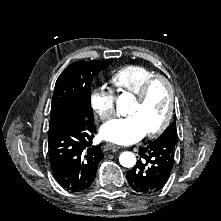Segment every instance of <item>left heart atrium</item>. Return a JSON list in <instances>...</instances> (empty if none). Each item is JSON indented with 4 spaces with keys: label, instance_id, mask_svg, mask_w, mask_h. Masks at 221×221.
I'll return each instance as SVG.
<instances>
[{
    "label": "left heart atrium",
    "instance_id": "obj_1",
    "mask_svg": "<svg viewBox=\"0 0 221 221\" xmlns=\"http://www.w3.org/2000/svg\"><path fill=\"white\" fill-rule=\"evenodd\" d=\"M100 133L105 140L117 144H130L145 136L143 128L133 117L110 120L101 127Z\"/></svg>",
    "mask_w": 221,
    "mask_h": 221
}]
</instances>
